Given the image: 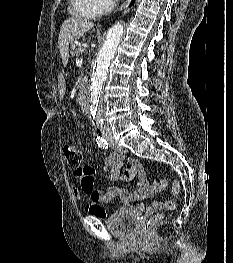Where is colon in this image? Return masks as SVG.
Segmentation results:
<instances>
[{
    "label": "colon",
    "mask_w": 233,
    "mask_h": 263,
    "mask_svg": "<svg viewBox=\"0 0 233 263\" xmlns=\"http://www.w3.org/2000/svg\"><path fill=\"white\" fill-rule=\"evenodd\" d=\"M64 154L67 159L68 165L74 169L75 174H84L88 173L89 170L87 168H84L82 164V152L80 149L75 145L74 143H67L64 146ZM167 187V181L166 180H160L155 181L153 183V189L156 191H161ZM180 187L177 182L173 184L172 187V195L175 196L179 193ZM175 207V203L172 199L167 200L164 203V208L167 210H173ZM164 219V215L162 213H158L153 215L151 218H149L144 226H143V233L148 234L155 226L160 224Z\"/></svg>",
    "instance_id": "5ec220e1"
}]
</instances>
